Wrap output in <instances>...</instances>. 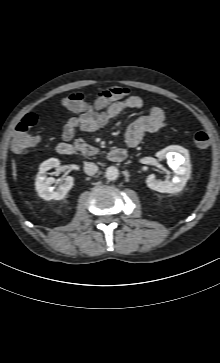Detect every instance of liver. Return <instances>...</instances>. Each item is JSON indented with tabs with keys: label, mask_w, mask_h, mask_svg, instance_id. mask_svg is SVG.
<instances>
[{
	"label": "liver",
	"mask_w": 220,
	"mask_h": 363,
	"mask_svg": "<svg viewBox=\"0 0 220 363\" xmlns=\"http://www.w3.org/2000/svg\"><path fill=\"white\" fill-rule=\"evenodd\" d=\"M12 169H13V176H14V179L16 180V176H17V171H16V164H15V161L13 160L12 161Z\"/></svg>",
	"instance_id": "obj_1"
}]
</instances>
